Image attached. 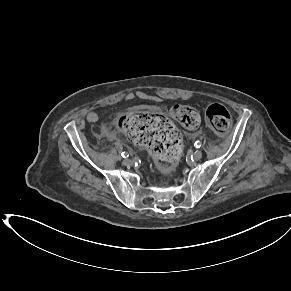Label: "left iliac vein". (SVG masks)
<instances>
[{"instance_id": "left-iliac-vein-1", "label": "left iliac vein", "mask_w": 291, "mask_h": 291, "mask_svg": "<svg viewBox=\"0 0 291 291\" xmlns=\"http://www.w3.org/2000/svg\"><path fill=\"white\" fill-rule=\"evenodd\" d=\"M201 157H202V151L201 150H196L195 152H194V154H193V158H194V160H199V159H201Z\"/></svg>"}]
</instances>
